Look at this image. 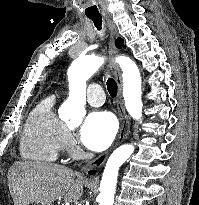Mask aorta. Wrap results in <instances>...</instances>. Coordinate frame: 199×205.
<instances>
[{
  "label": "aorta",
  "instance_id": "762f6f07",
  "mask_svg": "<svg viewBox=\"0 0 199 205\" xmlns=\"http://www.w3.org/2000/svg\"><path fill=\"white\" fill-rule=\"evenodd\" d=\"M104 59L95 55L80 56L68 69L69 96L63 104L73 123H80L86 102V81L101 67ZM116 62L122 69L123 96L128 113L136 120L142 117L141 76L136 63L120 56ZM134 146L118 147L109 157L100 184L99 205H113L120 166L133 154Z\"/></svg>",
  "mask_w": 199,
  "mask_h": 205
}]
</instances>
